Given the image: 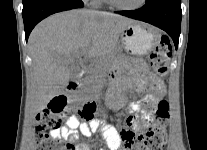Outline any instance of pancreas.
Segmentation results:
<instances>
[{
	"label": "pancreas",
	"mask_w": 207,
	"mask_h": 150,
	"mask_svg": "<svg viewBox=\"0 0 207 150\" xmlns=\"http://www.w3.org/2000/svg\"><path fill=\"white\" fill-rule=\"evenodd\" d=\"M108 69V59L97 61L90 70L91 76L86 78L82 83V88L87 93H92L95 88L101 87L103 77L106 76Z\"/></svg>",
	"instance_id": "obj_1"
}]
</instances>
